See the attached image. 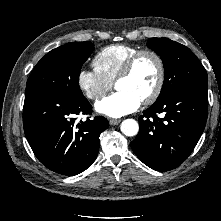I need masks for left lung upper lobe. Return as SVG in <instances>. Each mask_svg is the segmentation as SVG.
I'll use <instances>...</instances> for the list:
<instances>
[{
  "label": "left lung upper lobe",
  "mask_w": 221,
  "mask_h": 221,
  "mask_svg": "<svg viewBox=\"0 0 221 221\" xmlns=\"http://www.w3.org/2000/svg\"><path fill=\"white\" fill-rule=\"evenodd\" d=\"M147 46L162 59L165 78L159 101L184 86L207 83V73L193 52L186 46L168 38H150Z\"/></svg>",
  "instance_id": "obj_1"
}]
</instances>
